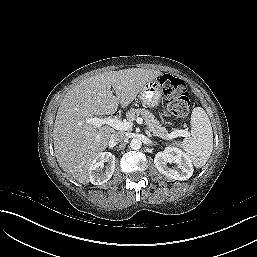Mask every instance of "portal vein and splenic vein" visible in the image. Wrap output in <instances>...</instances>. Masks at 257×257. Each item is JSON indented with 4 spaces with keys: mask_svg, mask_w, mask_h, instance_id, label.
I'll use <instances>...</instances> for the list:
<instances>
[{
    "mask_svg": "<svg viewBox=\"0 0 257 257\" xmlns=\"http://www.w3.org/2000/svg\"><path fill=\"white\" fill-rule=\"evenodd\" d=\"M85 121L86 123L92 124L98 128L101 127L102 125H109L116 130H123V131L129 130L133 126V123L131 121L123 122L117 118H112V117H105V118L90 117V118H86ZM136 122L138 124H142L143 119L141 117H137ZM145 132L148 136L151 137V134L148 130H145ZM178 136L187 137L189 136V133L186 130H175L172 133L168 134V137L171 139Z\"/></svg>",
    "mask_w": 257,
    "mask_h": 257,
    "instance_id": "obj_1",
    "label": "portal vein and splenic vein"
}]
</instances>
